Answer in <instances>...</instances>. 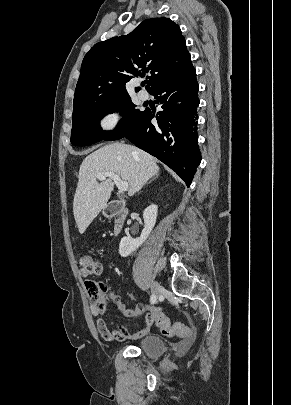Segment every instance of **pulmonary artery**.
<instances>
[{"mask_svg": "<svg viewBox=\"0 0 291 405\" xmlns=\"http://www.w3.org/2000/svg\"><path fill=\"white\" fill-rule=\"evenodd\" d=\"M138 97H139L141 100L145 101V100H147V99L149 98V94H148L145 90H140V91L138 92Z\"/></svg>", "mask_w": 291, "mask_h": 405, "instance_id": "1", "label": "pulmonary artery"}]
</instances>
